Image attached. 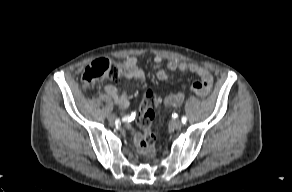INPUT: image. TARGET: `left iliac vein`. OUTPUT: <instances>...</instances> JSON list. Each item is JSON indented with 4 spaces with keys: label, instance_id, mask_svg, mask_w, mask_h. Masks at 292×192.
Listing matches in <instances>:
<instances>
[{
    "label": "left iliac vein",
    "instance_id": "1",
    "mask_svg": "<svg viewBox=\"0 0 292 192\" xmlns=\"http://www.w3.org/2000/svg\"><path fill=\"white\" fill-rule=\"evenodd\" d=\"M171 126H172L173 129H179V128L182 127V122L180 120H178V119L177 120H173L171 122Z\"/></svg>",
    "mask_w": 292,
    "mask_h": 192
}]
</instances>
